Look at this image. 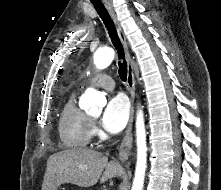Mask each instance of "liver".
<instances>
[{"label":"liver","instance_id":"6515ba94","mask_svg":"<svg viewBox=\"0 0 221 190\" xmlns=\"http://www.w3.org/2000/svg\"><path fill=\"white\" fill-rule=\"evenodd\" d=\"M123 174L124 169L119 163L108 162V158L98 151L83 148L68 149L48 158L41 190H57L65 183L91 187L99 179L104 183Z\"/></svg>","mask_w":221,"mask_h":190}]
</instances>
